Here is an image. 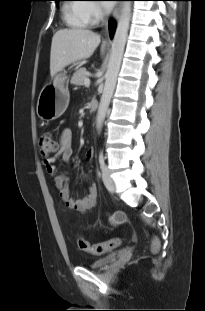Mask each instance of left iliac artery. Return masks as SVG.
Listing matches in <instances>:
<instances>
[{"label": "left iliac artery", "mask_w": 205, "mask_h": 311, "mask_svg": "<svg viewBox=\"0 0 205 311\" xmlns=\"http://www.w3.org/2000/svg\"><path fill=\"white\" fill-rule=\"evenodd\" d=\"M99 164H100V168L102 169V171L105 169V158L103 156V153L100 152L99 154Z\"/></svg>", "instance_id": "left-iliac-artery-1"}]
</instances>
